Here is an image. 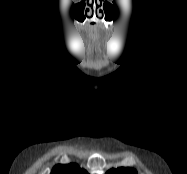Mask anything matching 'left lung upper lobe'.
Here are the masks:
<instances>
[{"label":"left lung upper lobe","instance_id":"5c2ea615","mask_svg":"<svg viewBox=\"0 0 187 174\" xmlns=\"http://www.w3.org/2000/svg\"><path fill=\"white\" fill-rule=\"evenodd\" d=\"M106 174H137L136 171L132 168H118V169H111L107 171Z\"/></svg>","mask_w":187,"mask_h":174}]
</instances>
